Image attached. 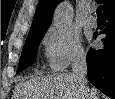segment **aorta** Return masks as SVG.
I'll use <instances>...</instances> for the list:
<instances>
[{
	"label": "aorta",
	"instance_id": "1",
	"mask_svg": "<svg viewBox=\"0 0 115 99\" xmlns=\"http://www.w3.org/2000/svg\"><path fill=\"white\" fill-rule=\"evenodd\" d=\"M73 18V11L68 4L59 7L54 15L53 25L58 30L65 29Z\"/></svg>",
	"mask_w": 115,
	"mask_h": 99
}]
</instances>
